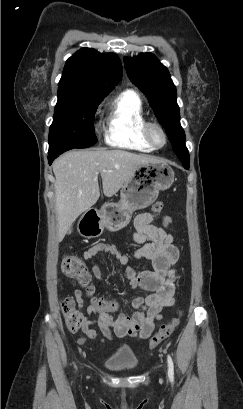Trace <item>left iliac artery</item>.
Instances as JSON below:
<instances>
[{"instance_id":"1","label":"left iliac artery","mask_w":243,"mask_h":409,"mask_svg":"<svg viewBox=\"0 0 243 409\" xmlns=\"http://www.w3.org/2000/svg\"><path fill=\"white\" fill-rule=\"evenodd\" d=\"M168 376L171 381L174 380V364L170 355L167 356Z\"/></svg>"}]
</instances>
